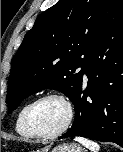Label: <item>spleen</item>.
I'll return each instance as SVG.
<instances>
[{
  "label": "spleen",
  "mask_w": 123,
  "mask_h": 152,
  "mask_svg": "<svg viewBox=\"0 0 123 152\" xmlns=\"http://www.w3.org/2000/svg\"><path fill=\"white\" fill-rule=\"evenodd\" d=\"M75 141L81 143L83 146L88 148L91 152H99L100 149L99 144L90 139H86L83 137H76Z\"/></svg>",
  "instance_id": "3e777b00"
}]
</instances>
